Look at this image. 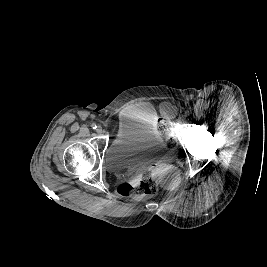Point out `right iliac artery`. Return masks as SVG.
<instances>
[{"label": "right iliac artery", "instance_id": "right-iliac-artery-1", "mask_svg": "<svg viewBox=\"0 0 267 267\" xmlns=\"http://www.w3.org/2000/svg\"><path fill=\"white\" fill-rule=\"evenodd\" d=\"M91 127H92V129H96V128H97V126H96L95 123H93V124L91 125Z\"/></svg>", "mask_w": 267, "mask_h": 267}]
</instances>
